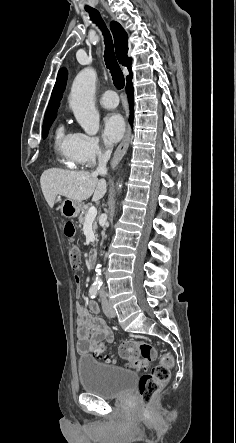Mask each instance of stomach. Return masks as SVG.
Masks as SVG:
<instances>
[{
	"label": "stomach",
	"instance_id": "1",
	"mask_svg": "<svg viewBox=\"0 0 236 443\" xmlns=\"http://www.w3.org/2000/svg\"><path fill=\"white\" fill-rule=\"evenodd\" d=\"M60 210L64 217L75 218L83 210V204L67 198L62 202Z\"/></svg>",
	"mask_w": 236,
	"mask_h": 443
}]
</instances>
